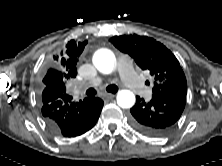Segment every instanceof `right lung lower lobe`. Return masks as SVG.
Here are the masks:
<instances>
[{
  "label": "right lung lower lobe",
  "instance_id": "1",
  "mask_svg": "<svg viewBox=\"0 0 222 166\" xmlns=\"http://www.w3.org/2000/svg\"><path fill=\"white\" fill-rule=\"evenodd\" d=\"M40 99L46 125L54 134L64 137H76L90 130L103 107L100 98L73 102L71 96L53 87H45Z\"/></svg>",
  "mask_w": 222,
  "mask_h": 166
}]
</instances>
